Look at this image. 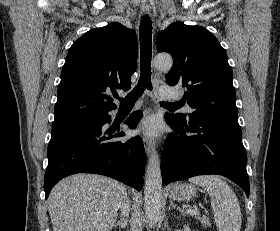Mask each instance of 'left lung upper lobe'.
I'll return each instance as SVG.
<instances>
[{
    "label": "left lung upper lobe",
    "instance_id": "5c2ea615",
    "mask_svg": "<svg viewBox=\"0 0 280 231\" xmlns=\"http://www.w3.org/2000/svg\"><path fill=\"white\" fill-rule=\"evenodd\" d=\"M156 48L173 57L166 81L185 88L184 100L195 109L189 118L238 117L232 69L225 50L211 32L175 22L158 34ZM176 115L186 121L185 114Z\"/></svg>",
    "mask_w": 280,
    "mask_h": 231
}]
</instances>
